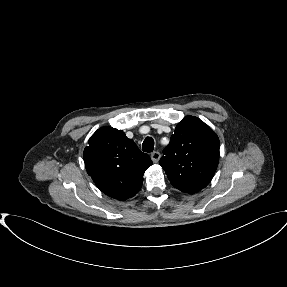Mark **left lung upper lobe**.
Wrapping results in <instances>:
<instances>
[{
  "label": "left lung upper lobe",
  "instance_id": "1",
  "mask_svg": "<svg viewBox=\"0 0 287 287\" xmlns=\"http://www.w3.org/2000/svg\"><path fill=\"white\" fill-rule=\"evenodd\" d=\"M219 147V138L208 125L186 116L177 124L159 164L175 188L196 193L211 181L219 162Z\"/></svg>",
  "mask_w": 287,
  "mask_h": 287
}]
</instances>
